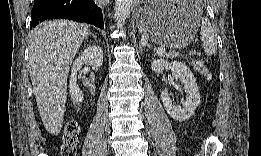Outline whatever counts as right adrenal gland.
I'll return each mask as SVG.
<instances>
[{"instance_id": "1", "label": "right adrenal gland", "mask_w": 261, "mask_h": 156, "mask_svg": "<svg viewBox=\"0 0 261 156\" xmlns=\"http://www.w3.org/2000/svg\"><path fill=\"white\" fill-rule=\"evenodd\" d=\"M90 35L96 40V36L93 33H90Z\"/></svg>"}]
</instances>
